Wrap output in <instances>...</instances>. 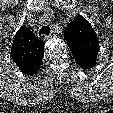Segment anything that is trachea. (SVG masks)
I'll return each instance as SVG.
<instances>
[{
  "label": "trachea",
  "mask_w": 113,
  "mask_h": 113,
  "mask_svg": "<svg viewBox=\"0 0 113 113\" xmlns=\"http://www.w3.org/2000/svg\"><path fill=\"white\" fill-rule=\"evenodd\" d=\"M50 27L49 26H43L40 30H39V35H49L50 34Z\"/></svg>",
  "instance_id": "obj_1"
}]
</instances>
